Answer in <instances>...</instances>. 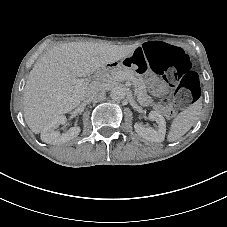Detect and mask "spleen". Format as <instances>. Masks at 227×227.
<instances>
[{
	"mask_svg": "<svg viewBox=\"0 0 227 227\" xmlns=\"http://www.w3.org/2000/svg\"><path fill=\"white\" fill-rule=\"evenodd\" d=\"M201 103L190 106L185 111L179 113L174 119L168 135V140L173 142L182 137L192 127L198 119L201 110Z\"/></svg>",
	"mask_w": 227,
	"mask_h": 227,
	"instance_id": "obj_1",
	"label": "spleen"
}]
</instances>
